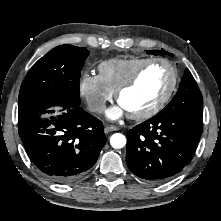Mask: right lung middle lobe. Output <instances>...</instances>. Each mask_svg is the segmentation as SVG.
<instances>
[{"label": "right lung middle lobe", "instance_id": "right-lung-middle-lobe-1", "mask_svg": "<svg viewBox=\"0 0 221 221\" xmlns=\"http://www.w3.org/2000/svg\"><path fill=\"white\" fill-rule=\"evenodd\" d=\"M88 55L86 48L60 45L39 59L21 85L18 120L53 106H79V78Z\"/></svg>", "mask_w": 221, "mask_h": 221}]
</instances>
